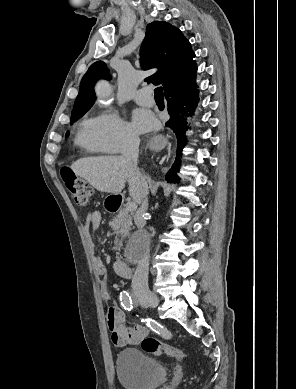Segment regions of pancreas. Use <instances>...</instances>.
Masks as SVG:
<instances>
[{
	"mask_svg": "<svg viewBox=\"0 0 296 389\" xmlns=\"http://www.w3.org/2000/svg\"><path fill=\"white\" fill-rule=\"evenodd\" d=\"M109 224L116 234V237H121V239H117L116 243H118L120 240L129 236L132 226V217L126 208H122Z\"/></svg>",
	"mask_w": 296,
	"mask_h": 389,
	"instance_id": "obj_1",
	"label": "pancreas"
}]
</instances>
